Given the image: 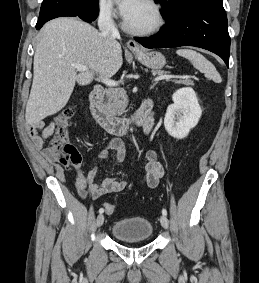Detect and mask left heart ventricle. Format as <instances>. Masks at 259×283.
<instances>
[{"mask_svg":"<svg viewBox=\"0 0 259 283\" xmlns=\"http://www.w3.org/2000/svg\"><path fill=\"white\" fill-rule=\"evenodd\" d=\"M126 22L135 29H146L153 26L156 22L154 10L140 0L135 10L126 18Z\"/></svg>","mask_w":259,"mask_h":283,"instance_id":"1","label":"left heart ventricle"}]
</instances>
